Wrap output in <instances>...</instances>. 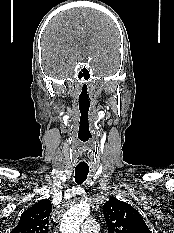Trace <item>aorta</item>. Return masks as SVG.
Wrapping results in <instances>:
<instances>
[{
    "mask_svg": "<svg viewBox=\"0 0 174 233\" xmlns=\"http://www.w3.org/2000/svg\"><path fill=\"white\" fill-rule=\"evenodd\" d=\"M90 207L86 203H80L72 206L64 214L61 224V233H80L82 222L89 216Z\"/></svg>",
    "mask_w": 174,
    "mask_h": 233,
    "instance_id": "1",
    "label": "aorta"
}]
</instances>
